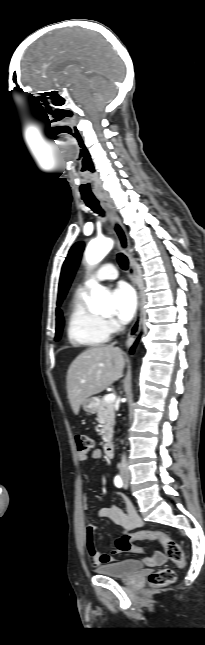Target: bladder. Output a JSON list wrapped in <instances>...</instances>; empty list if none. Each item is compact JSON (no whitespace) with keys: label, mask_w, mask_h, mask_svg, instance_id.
<instances>
[{"label":"bladder","mask_w":205,"mask_h":645,"mask_svg":"<svg viewBox=\"0 0 205 645\" xmlns=\"http://www.w3.org/2000/svg\"><path fill=\"white\" fill-rule=\"evenodd\" d=\"M143 569V563L136 559H125L117 562L102 564L96 567V572L115 578H127Z\"/></svg>","instance_id":"bladder-1"}]
</instances>
